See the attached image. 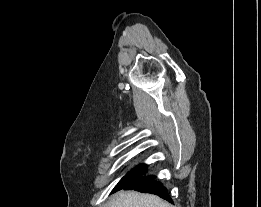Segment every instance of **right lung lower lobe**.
I'll return each instance as SVG.
<instances>
[{"mask_svg": "<svg viewBox=\"0 0 261 207\" xmlns=\"http://www.w3.org/2000/svg\"><path fill=\"white\" fill-rule=\"evenodd\" d=\"M154 178V176H148L145 178L137 177L135 181L132 180L119 189H134L140 192L155 194L172 203L173 201L168 195L167 189L159 182L154 181Z\"/></svg>", "mask_w": 261, "mask_h": 207, "instance_id": "obj_1", "label": "right lung lower lobe"}]
</instances>
